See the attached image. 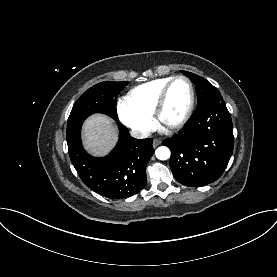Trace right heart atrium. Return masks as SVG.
Returning a JSON list of instances; mask_svg holds the SVG:
<instances>
[{
    "instance_id": "obj_1",
    "label": "right heart atrium",
    "mask_w": 277,
    "mask_h": 277,
    "mask_svg": "<svg viewBox=\"0 0 277 277\" xmlns=\"http://www.w3.org/2000/svg\"><path fill=\"white\" fill-rule=\"evenodd\" d=\"M117 112L121 122L138 137H144L152 127L151 116L135 109L126 98L119 101Z\"/></svg>"
}]
</instances>
